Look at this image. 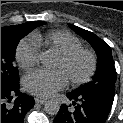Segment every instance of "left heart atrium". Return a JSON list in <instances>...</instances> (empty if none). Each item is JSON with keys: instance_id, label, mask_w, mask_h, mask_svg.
<instances>
[{"instance_id": "1", "label": "left heart atrium", "mask_w": 123, "mask_h": 123, "mask_svg": "<svg viewBox=\"0 0 123 123\" xmlns=\"http://www.w3.org/2000/svg\"><path fill=\"white\" fill-rule=\"evenodd\" d=\"M68 77L60 70H36L25 77L26 90L38 97L47 98L67 84Z\"/></svg>"}]
</instances>
